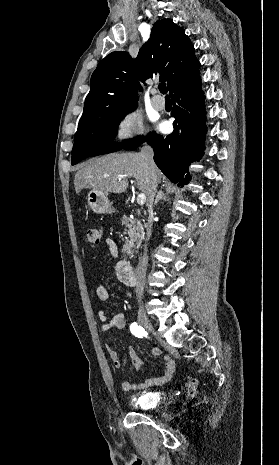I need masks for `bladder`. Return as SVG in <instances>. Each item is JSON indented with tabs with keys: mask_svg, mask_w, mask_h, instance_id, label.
Wrapping results in <instances>:
<instances>
[{
	"mask_svg": "<svg viewBox=\"0 0 279 465\" xmlns=\"http://www.w3.org/2000/svg\"><path fill=\"white\" fill-rule=\"evenodd\" d=\"M162 401L161 394L157 391H147L135 395L131 399L132 406L136 409L147 410L156 407Z\"/></svg>",
	"mask_w": 279,
	"mask_h": 465,
	"instance_id": "bladder-1",
	"label": "bladder"
}]
</instances>
